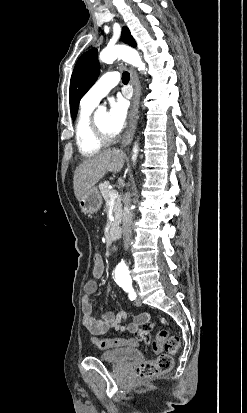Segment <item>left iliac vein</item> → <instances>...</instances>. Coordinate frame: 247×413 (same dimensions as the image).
Here are the masks:
<instances>
[{
	"label": "left iliac vein",
	"instance_id": "4c4485c4",
	"mask_svg": "<svg viewBox=\"0 0 247 413\" xmlns=\"http://www.w3.org/2000/svg\"><path fill=\"white\" fill-rule=\"evenodd\" d=\"M134 304L136 306H140L141 305V299L139 297H137V299L135 300Z\"/></svg>",
	"mask_w": 247,
	"mask_h": 413
}]
</instances>
